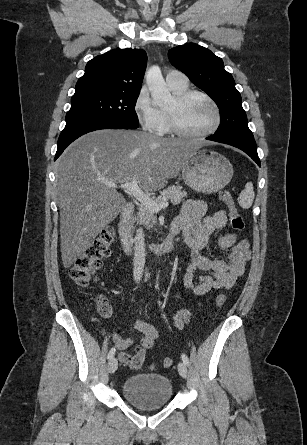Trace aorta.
Returning <instances> with one entry per match:
<instances>
[{"mask_svg":"<svg viewBox=\"0 0 307 445\" xmlns=\"http://www.w3.org/2000/svg\"><path fill=\"white\" fill-rule=\"evenodd\" d=\"M146 84L151 92L153 102L158 106H167L173 104L174 98L171 96L169 88L163 78L160 66H150L146 72Z\"/></svg>","mask_w":307,"mask_h":445,"instance_id":"1","label":"aorta"}]
</instances>
